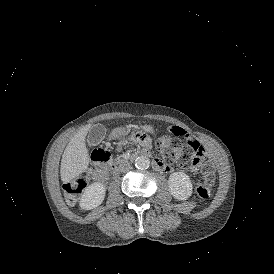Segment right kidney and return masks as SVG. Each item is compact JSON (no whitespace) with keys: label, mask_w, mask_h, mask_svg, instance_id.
<instances>
[{"label":"right kidney","mask_w":274,"mask_h":274,"mask_svg":"<svg viewBox=\"0 0 274 274\" xmlns=\"http://www.w3.org/2000/svg\"><path fill=\"white\" fill-rule=\"evenodd\" d=\"M105 187L98 182L88 185L82 194L79 205L84 210H91L99 205L104 200L105 197Z\"/></svg>","instance_id":"ca27d5eb"}]
</instances>
